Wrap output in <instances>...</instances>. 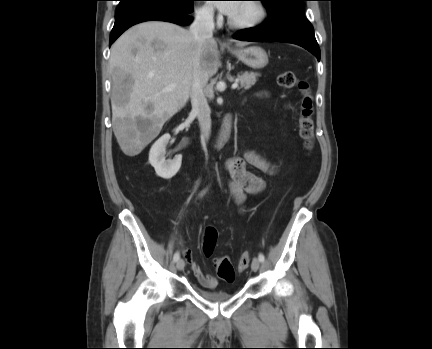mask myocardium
I'll use <instances>...</instances> for the list:
<instances>
[{
	"label": "myocardium",
	"instance_id": "myocardium-1",
	"mask_svg": "<svg viewBox=\"0 0 432 349\" xmlns=\"http://www.w3.org/2000/svg\"><path fill=\"white\" fill-rule=\"evenodd\" d=\"M249 1H251L249 3L253 4V6L256 8L257 15L253 19L248 21H237L234 20L231 16H229L228 24L230 27L239 30H247V29L255 28L261 25L265 21L268 14L265 4L260 0H249Z\"/></svg>",
	"mask_w": 432,
	"mask_h": 349
}]
</instances>
